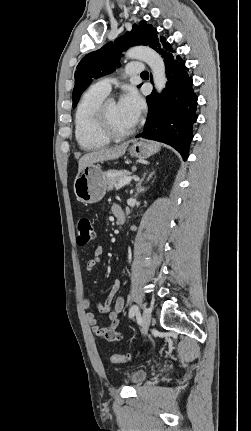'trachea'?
Wrapping results in <instances>:
<instances>
[{
	"label": "trachea",
	"instance_id": "1",
	"mask_svg": "<svg viewBox=\"0 0 251 431\" xmlns=\"http://www.w3.org/2000/svg\"><path fill=\"white\" fill-rule=\"evenodd\" d=\"M141 75H148V72L144 71V72L141 73Z\"/></svg>",
	"mask_w": 251,
	"mask_h": 431
}]
</instances>
